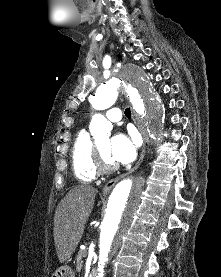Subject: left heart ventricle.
Returning a JSON list of instances; mask_svg holds the SVG:
<instances>
[{
    "mask_svg": "<svg viewBox=\"0 0 221 277\" xmlns=\"http://www.w3.org/2000/svg\"><path fill=\"white\" fill-rule=\"evenodd\" d=\"M99 149L101 150L104 159L106 160V162L108 163H114V161L111 159L110 155H109V141L108 140H103L100 141L98 144Z\"/></svg>",
    "mask_w": 221,
    "mask_h": 277,
    "instance_id": "obj_1",
    "label": "left heart ventricle"
}]
</instances>
